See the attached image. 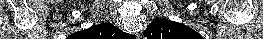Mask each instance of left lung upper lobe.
I'll use <instances>...</instances> for the list:
<instances>
[{
	"label": "left lung upper lobe",
	"instance_id": "1",
	"mask_svg": "<svg viewBox=\"0 0 263 39\" xmlns=\"http://www.w3.org/2000/svg\"><path fill=\"white\" fill-rule=\"evenodd\" d=\"M147 39H203L190 27L170 21L168 19H155L144 32Z\"/></svg>",
	"mask_w": 263,
	"mask_h": 39
}]
</instances>
